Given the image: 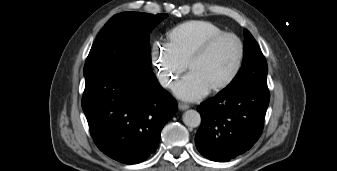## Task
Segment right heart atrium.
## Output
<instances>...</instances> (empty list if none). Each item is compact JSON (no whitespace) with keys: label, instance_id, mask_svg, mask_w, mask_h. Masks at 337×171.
Instances as JSON below:
<instances>
[{"label":"right heart atrium","instance_id":"obj_1","mask_svg":"<svg viewBox=\"0 0 337 171\" xmlns=\"http://www.w3.org/2000/svg\"><path fill=\"white\" fill-rule=\"evenodd\" d=\"M151 59L157 77L165 87H171L185 71V63L166 44L155 43L151 48Z\"/></svg>","mask_w":337,"mask_h":171}]
</instances>
